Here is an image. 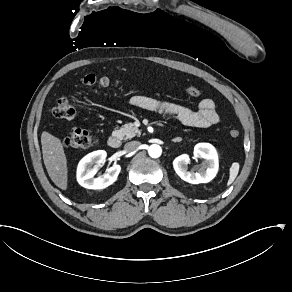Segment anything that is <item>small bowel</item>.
I'll return each mask as SVG.
<instances>
[{
  "label": "small bowel",
  "instance_id": "c3829d8e",
  "mask_svg": "<svg viewBox=\"0 0 292 292\" xmlns=\"http://www.w3.org/2000/svg\"><path fill=\"white\" fill-rule=\"evenodd\" d=\"M130 103L138 108L174 116L190 127L205 128L218 123L220 120L214 101L208 98L199 102L197 110L144 95L132 96Z\"/></svg>",
  "mask_w": 292,
  "mask_h": 292
}]
</instances>
